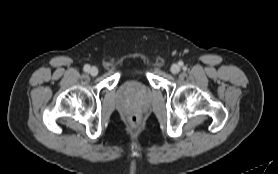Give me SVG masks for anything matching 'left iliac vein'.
<instances>
[{"mask_svg":"<svg viewBox=\"0 0 278 174\" xmlns=\"http://www.w3.org/2000/svg\"><path fill=\"white\" fill-rule=\"evenodd\" d=\"M170 71H171L173 74H178L179 71H180V67H179L177 64H173V65L171 66Z\"/></svg>","mask_w":278,"mask_h":174,"instance_id":"obj_1","label":"left iliac vein"}]
</instances>
